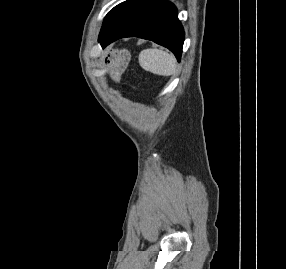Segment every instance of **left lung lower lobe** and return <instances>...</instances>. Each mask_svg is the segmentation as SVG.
<instances>
[{
	"label": "left lung lower lobe",
	"instance_id": "0a47b994",
	"mask_svg": "<svg viewBox=\"0 0 286 269\" xmlns=\"http://www.w3.org/2000/svg\"><path fill=\"white\" fill-rule=\"evenodd\" d=\"M123 37H140L170 49L180 61L184 30L176 7L166 0H143L114 27L101 30L99 42L105 47Z\"/></svg>",
	"mask_w": 286,
	"mask_h": 269
}]
</instances>
